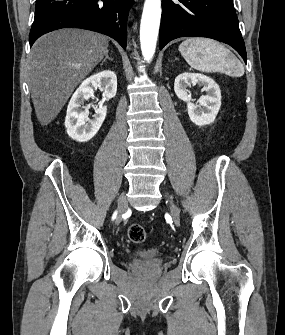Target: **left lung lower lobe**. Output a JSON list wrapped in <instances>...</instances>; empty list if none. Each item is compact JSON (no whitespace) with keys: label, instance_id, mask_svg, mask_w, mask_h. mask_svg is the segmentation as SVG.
<instances>
[{"label":"left lung lower lobe","instance_id":"left-lung-lower-lobe-1","mask_svg":"<svg viewBox=\"0 0 285 335\" xmlns=\"http://www.w3.org/2000/svg\"><path fill=\"white\" fill-rule=\"evenodd\" d=\"M185 36L224 42L247 60L233 0H162L160 50Z\"/></svg>","mask_w":285,"mask_h":335}]
</instances>
